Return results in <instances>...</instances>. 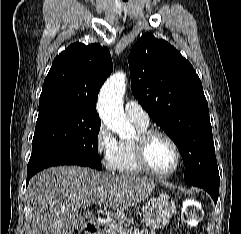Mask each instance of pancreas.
Instances as JSON below:
<instances>
[{"instance_id":"1","label":"pancreas","mask_w":241,"mask_h":234,"mask_svg":"<svg viewBox=\"0 0 241 234\" xmlns=\"http://www.w3.org/2000/svg\"><path fill=\"white\" fill-rule=\"evenodd\" d=\"M102 234H133V233H127L125 228H123L121 225L113 223L107 225L106 228L102 230ZM140 234H149L147 231H142Z\"/></svg>"}]
</instances>
